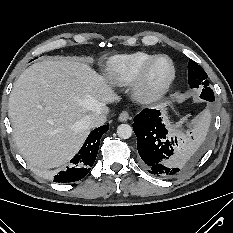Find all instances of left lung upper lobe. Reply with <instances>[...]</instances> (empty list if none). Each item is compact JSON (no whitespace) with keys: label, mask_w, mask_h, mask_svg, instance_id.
Listing matches in <instances>:
<instances>
[{"label":"left lung upper lobe","mask_w":233,"mask_h":233,"mask_svg":"<svg viewBox=\"0 0 233 233\" xmlns=\"http://www.w3.org/2000/svg\"><path fill=\"white\" fill-rule=\"evenodd\" d=\"M207 78L208 75L206 72L196 62L190 59L188 63V82L190 87L198 88L200 85H204V89L200 97L205 100L214 101L213 91L208 95V98L204 96L206 88H209Z\"/></svg>","instance_id":"obj_1"}]
</instances>
